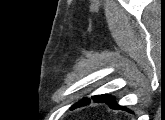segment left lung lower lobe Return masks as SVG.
Returning <instances> with one entry per match:
<instances>
[{
	"label": "left lung lower lobe",
	"instance_id": "left-lung-lower-lobe-1",
	"mask_svg": "<svg viewBox=\"0 0 165 120\" xmlns=\"http://www.w3.org/2000/svg\"><path fill=\"white\" fill-rule=\"evenodd\" d=\"M95 101H97V100H95ZM97 102H106L111 108H114V109H124V110H127L125 107L119 106L114 97H110L109 96L104 101H97ZM86 104H89V103H86ZM86 104H84V105H86ZM76 107H78V106H76Z\"/></svg>",
	"mask_w": 165,
	"mask_h": 120
}]
</instances>
